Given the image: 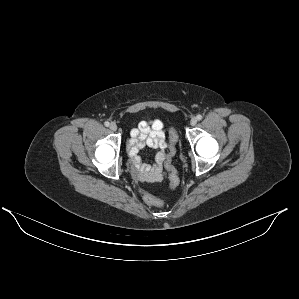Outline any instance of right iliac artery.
Wrapping results in <instances>:
<instances>
[{"instance_id":"1","label":"right iliac artery","mask_w":299,"mask_h":299,"mask_svg":"<svg viewBox=\"0 0 299 299\" xmlns=\"http://www.w3.org/2000/svg\"><path fill=\"white\" fill-rule=\"evenodd\" d=\"M104 125H105L106 127H108V126L110 125V123H109L108 121H106V122L104 123Z\"/></svg>"}]
</instances>
